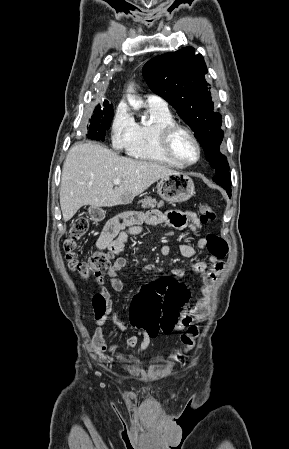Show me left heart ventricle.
<instances>
[{
    "mask_svg": "<svg viewBox=\"0 0 289 449\" xmlns=\"http://www.w3.org/2000/svg\"><path fill=\"white\" fill-rule=\"evenodd\" d=\"M173 149L176 156L185 162H193L197 158L195 144L183 133L175 136Z\"/></svg>",
    "mask_w": 289,
    "mask_h": 449,
    "instance_id": "left-heart-ventricle-1",
    "label": "left heart ventricle"
}]
</instances>
